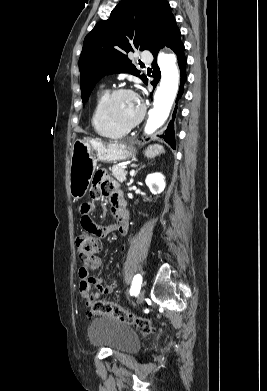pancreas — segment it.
Here are the masks:
<instances>
[{
	"label": "pancreas",
	"mask_w": 267,
	"mask_h": 391,
	"mask_svg": "<svg viewBox=\"0 0 267 391\" xmlns=\"http://www.w3.org/2000/svg\"><path fill=\"white\" fill-rule=\"evenodd\" d=\"M109 170L112 172V175L119 181V182H125L127 172L123 168V166H114L112 168H109Z\"/></svg>",
	"instance_id": "pancreas-1"
}]
</instances>
